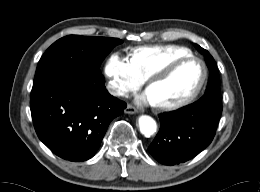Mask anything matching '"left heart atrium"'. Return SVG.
Listing matches in <instances>:
<instances>
[{
    "label": "left heart atrium",
    "mask_w": 260,
    "mask_h": 192,
    "mask_svg": "<svg viewBox=\"0 0 260 192\" xmlns=\"http://www.w3.org/2000/svg\"><path fill=\"white\" fill-rule=\"evenodd\" d=\"M147 99H148L149 101H153V100H154V97L149 93V94H147Z\"/></svg>",
    "instance_id": "left-heart-atrium-1"
}]
</instances>
